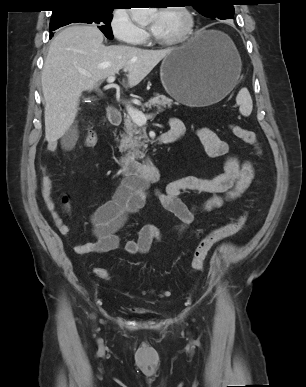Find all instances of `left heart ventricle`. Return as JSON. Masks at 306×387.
<instances>
[{
  "instance_id": "b2bd125f",
  "label": "left heart ventricle",
  "mask_w": 306,
  "mask_h": 387,
  "mask_svg": "<svg viewBox=\"0 0 306 387\" xmlns=\"http://www.w3.org/2000/svg\"><path fill=\"white\" fill-rule=\"evenodd\" d=\"M152 23L158 22V30L154 35L159 39H169L181 33L185 25L184 16L174 9L158 10L151 16Z\"/></svg>"
}]
</instances>
